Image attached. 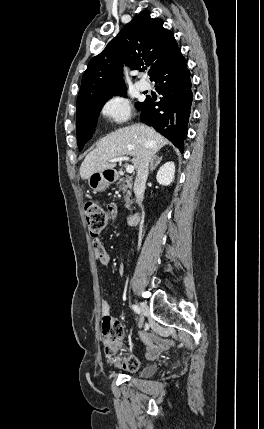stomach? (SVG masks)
Segmentation results:
<instances>
[{
  "label": "stomach",
  "mask_w": 264,
  "mask_h": 429,
  "mask_svg": "<svg viewBox=\"0 0 264 429\" xmlns=\"http://www.w3.org/2000/svg\"><path fill=\"white\" fill-rule=\"evenodd\" d=\"M117 179V172L114 169H105L92 173L88 177V185L93 192L106 190Z\"/></svg>",
  "instance_id": "1"
}]
</instances>
